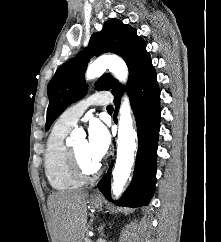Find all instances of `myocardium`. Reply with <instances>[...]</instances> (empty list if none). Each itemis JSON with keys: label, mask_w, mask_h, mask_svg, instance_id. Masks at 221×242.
I'll return each mask as SVG.
<instances>
[{"label": "myocardium", "mask_w": 221, "mask_h": 242, "mask_svg": "<svg viewBox=\"0 0 221 242\" xmlns=\"http://www.w3.org/2000/svg\"><path fill=\"white\" fill-rule=\"evenodd\" d=\"M68 152L70 167L77 177L82 180H90L99 173L101 168L100 163H97L93 168L88 169L82 164L73 148H70Z\"/></svg>", "instance_id": "f54148a6"}]
</instances>
